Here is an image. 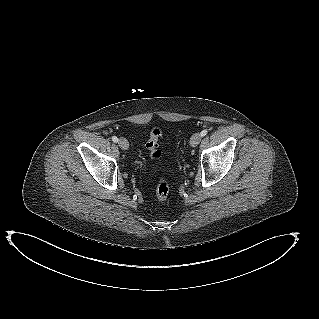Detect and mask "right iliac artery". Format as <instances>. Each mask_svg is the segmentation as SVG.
Here are the masks:
<instances>
[{"mask_svg":"<svg viewBox=\"0 0 319 319\" xmlns=\"http://www.w3.org/2000/svg\"><path fill=\"white\" fill-rule=\"evenodd\" d=\"M112 141L115 142V143H117V142H118V138H117L116 136H113V137H112Z\"/></svg>","mask_w":319,"mask_h":319,"instance_id":"82829eb1","label":"right iliac artery"}]
</instances>
